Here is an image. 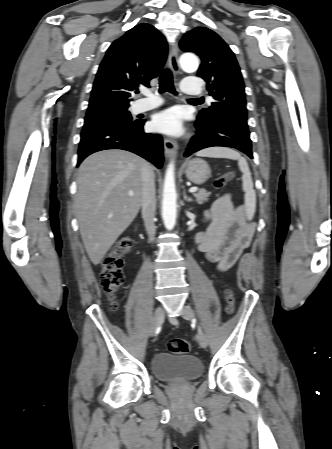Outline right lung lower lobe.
Returning a JSON list of instances; mask_svg holds the SVG:
<instances>
[{"label":"right lung lower lobe","mask_w":332,"mask_h":449,"mask_svg":"<svg viewBox=\"0 0 332 449\" xmlns=\"http://www.w3.org/2000/svg\"><path fill=\"white\" fill-rule=\"evenodd\" d=\"M145 120L129 125H98L83 129L78 150L79 165L88 155L106 149H122L138 154L156 167L163 165V141L159 134L145 133Z\"/></svg>","instance_id":"1"}]
</instances>
